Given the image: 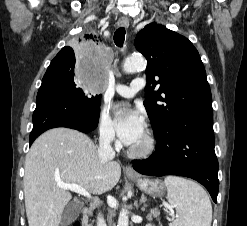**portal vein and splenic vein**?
<instances>
[{
    "label": "portal vein and splenic vein",
    "mask_w": 247,
    "mask_h": 226,
    "mask_svg": "<svg viewBox=\"0 0 247 226\" xmlns=\"http://www.w3.org/2000/svg\"><path fill=\"white\" fill-rule=\"evenodd\" d=\"M57 186L61 189L70 190L72 192L83 195L84 197L91 198V194L77 184L58 183ZM172 217H179V215H172Z\"/></svg>",
    "instance_id": "portal-vein-and-splenic-vein-1"
}]
</instances>
